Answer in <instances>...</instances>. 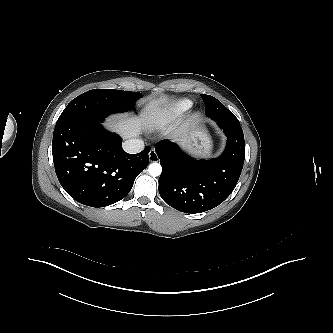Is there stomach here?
<instances>
[{"instance_id":"stomach-1","label":"stomach","mask_w":333,"mask_h":333,"mask_svg":"<svg viewBox=\"0 0 333 333\" xmlns=\"http://www.w3.org/2000/svg\"><path fill=\"white\" fill-rule=\"evenodd\" d=\"M189 150L199 155H210L212 143L209 136L200 129H193L186 140Z\"/></svg>"}]
</instances>
